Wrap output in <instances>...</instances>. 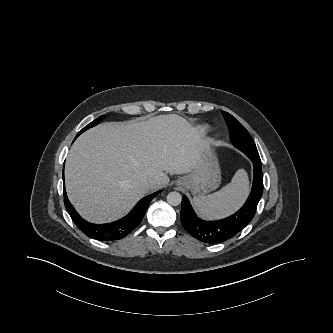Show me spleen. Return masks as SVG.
Listing matches in <instances>:
<instances>
[{"mask_svg": "<svg viewBox=\"0 0 333 333\" xmlns=\"http://www.w3.org/2000/svg\"><path fill=\"white\" fill-rule=\"evenodd\" d=\"M248 191L247 173L240 169L222 189L207 196L194 197L193 202L203 217L221 218L237 210L246 199Z\"/></svg>", "mask_w": 333, "mask_h": 333, "instance_id": "spleen-1", "label": "spleen"}]
</instances>
